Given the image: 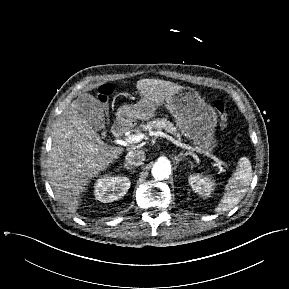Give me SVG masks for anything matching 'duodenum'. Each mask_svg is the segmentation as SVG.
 <instances>
[{
    "label": "duodenum",
    "instance_id": "1",
    "mask_svg": "<svg viewBox=\"0 0 289 289\" xmlns=\"http://www.w3.org/2000/svg\"><path fill=\"white\" fill-rule=\"evenodd\" d=\"M131 127V122L127 118H120L118 119L113 127L112 132L115 136L121 137L123 136Z\"/></svg>",
    "mask_w": 289,
    "mask_h": 289
}]
</instances>
